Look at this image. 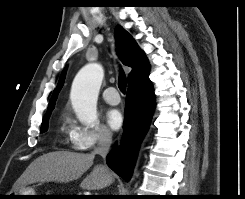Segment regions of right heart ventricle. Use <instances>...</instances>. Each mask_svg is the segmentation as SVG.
Masks as SVG:
<instances>
[{
    "label": "right heart ventricle",
    "mask_w": 245,
    "mask_h": 199,
    "mask_svg": "<svg viewBox=\"0 0 245 199\" xmlns=\"http://www.w3.org/2000/svg\"><path fill=\"white\" fill-rule=\"evenodd\" d=\"M72 123L70 118L67 115H64L61 121V129L64 132H67L69 135L71 133Z\"/></svg>",
    "instance_id": "e07e8e85"
}]
</instances>
